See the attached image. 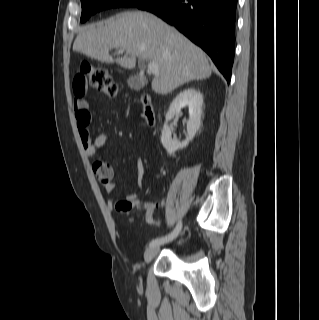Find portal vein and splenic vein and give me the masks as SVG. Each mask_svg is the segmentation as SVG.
Instances as JSON below:
<instances>
[{"label": "portal vein and splenic vein", "mask_w": 319, "mask_h": 320, "mask_svg": "<svg viewBox=\"0 0 319 320\" xmlns=\"http://www.w3.org/2000/svg\"><path fill=\"white\" fill-rule=\"evenodd\" d=\"M119 53H123V50L120 49ZM148 71L154 75H158L159 74V66L156 62H149L148 64Z\"/></svg>", "instance_id": "18ae733b"}]
</instances>
